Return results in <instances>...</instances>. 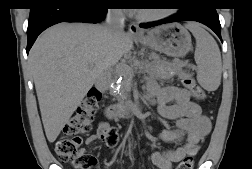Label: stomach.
<instances>
[{"label":"stomach","mask_w":252,"mask_h":169,"mask_svg":"<svg viewBox=\"0 0 252 169\" xmlns=\"http://www.w3.org/2000/svg\"><path fill=\"white\" fill-rule=\"evenodd\" d=\"M136 40L153 50L172 57H182L192 48L191 36L187 29L178 23L159 26L136 37Z\"/></svg>","instance_id":"obj_1"}]
</instances>
